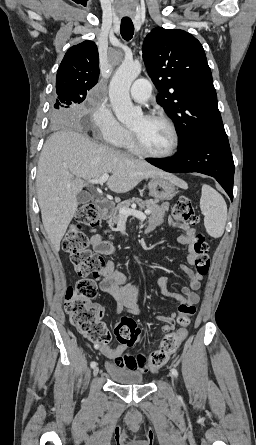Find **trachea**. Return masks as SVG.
<instances>
[{"instance_id":"obj_1","label":"trachea","mask_w":256,"mask_h":445,"mask_svg":"<svg viewBox=\"0 0 256 445\" xmlns=\"http://www.w3.org/2000/svg\"><path fill=\"white\" fill-rule=\"evenodd\" d=\"M122 38L126 41L132 39L134 34V25L131 19H122L120 27Z\"/></svg>"}]
</instances>
